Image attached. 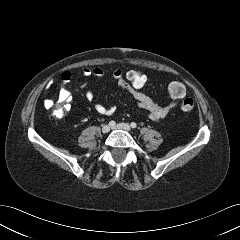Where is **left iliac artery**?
I'll use <instances>...</instances> for the list:
<instances>
[{
    "label": "left iliac artery",
    "mask_w": 240,
    "mask_h": 240,
    "mask_svg": "<svg viewBox=\"0 0 240 240\" xmlns=\"http://www.w3.org/2000/svg\"><path fill=\"white\" fill-rule=\"evenodd\" d=\"M130 126H131L132 128H136L137 124H136L135 122H132V123L130 124Z\"/></svg>",
    "instance_id": "44dca946"
}]
</instances>
